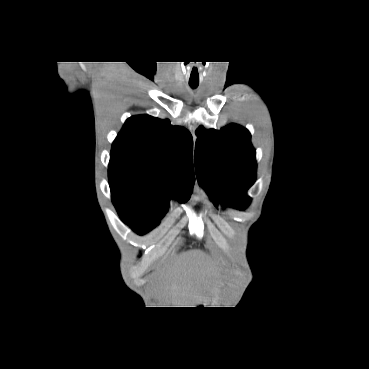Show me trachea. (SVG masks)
<instances>
[{"label":"trachea","mask_w":369,"mask_h":369,"mask_svg":"<svg viewBox=\"0 0 369 369\" xmlns=\"http://www.w3.org/2000/svg\"><path fill=\"white\" fill-rule=\"evenodd\" d=\"M189 85L192 89H196L198 87V83L196 84L190 83Z\"/></svg>","instance_id":"trachea-1"}]
</instances>
